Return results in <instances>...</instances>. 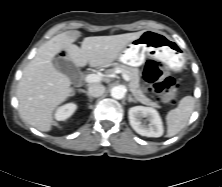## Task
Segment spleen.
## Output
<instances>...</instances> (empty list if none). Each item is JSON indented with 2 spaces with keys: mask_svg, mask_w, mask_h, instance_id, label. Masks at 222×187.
Here are the masks:
<instances>
[{
  "mask_svg": "<svg viewBox=\"0 0 222 187\" xmlns=\"http://www.w3.org/2000/svg\"><path fill=\"white\" fill-rule=\"evenodd\" d=\"M195 100L192 96L183 97L177 108L166 115L167 137H173L179 133L189 121L194 110Z\"/></svg>",
  "mask_w": 222,
  "mask_h": 187,
  "instance_id": "obj_1",
  "label": "spleen"
}]
</instances>
